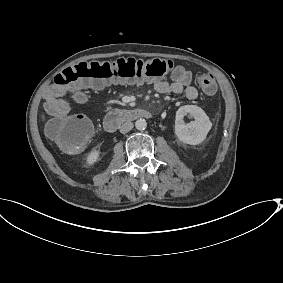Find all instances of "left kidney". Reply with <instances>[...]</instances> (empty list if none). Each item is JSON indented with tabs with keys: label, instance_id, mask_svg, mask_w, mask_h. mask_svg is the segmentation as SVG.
<instances>
[{
	"label": "left kidney",
	"instance_id": "5707ae66",
	"mask_svg": "<svg viewBox=\"0 0 283 283\" xmlns=\"http://www.w3.org/2000/svg\"><path fill=\"white\" fill-rule=\"evenodd\" d=\"M186 114H190L196 120L185 125L183 119ZM189 127L193 129L189 130ZM211 127L212 122L209 117L198 106L186 105L179 108L176 112L174 133L182 143L189 145L201 144L206 139Z\"/></svg>",
	"mask_w": 283,
	"mask_h": 283
}]
</instances>
